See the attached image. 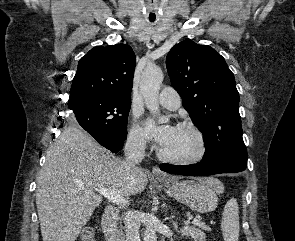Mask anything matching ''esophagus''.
Instances as JSON below:
<instances>
[{
  "instance_id": "34e87169",
  "label": "esophagus",
  "mask_w": 295,
  "mask_h": 241,
  "mask_svg": "<svg viewBox=\"0 0 295 241\" xmlns=\"http://www.w3.org/2000/svg\"><path fill=\"white\" fill-rule=\"evenodd\" d=\"M152 176L155 177V178H158V179H169V177L163 173L159 167L157 166H154L152 168Z\"/></svg>"
}]
</instances>
